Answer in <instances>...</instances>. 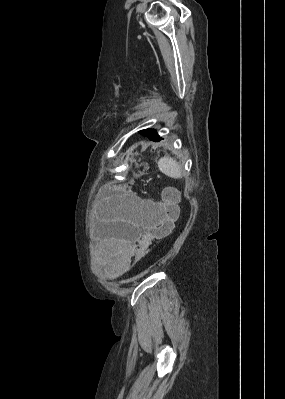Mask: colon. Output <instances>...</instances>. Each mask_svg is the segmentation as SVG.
Here are the masks:
<instances>
[{
	"label": "colon",
	"instance_id": "obj_1",
	"mask_svg": "<svg viewBox=\"0 0 285 399\" xmlns=\"http://www.w3.org/2000/svg\"><path fill=\"white\" fill-rule=\"evenodd\" d=\"M165 202L158 206V210L163 214L162 222L157 226V228L152 232V234L142 241H140L136 246L135 250L137 255L143 256L151 249L153 242L156 239L166 237L173 229L175 221L178 217V207L176 204V195L170 191L164 193Z\"/></svg>",
	"mask_w": 285,
	"mask_h": 399
}]
</instances>
